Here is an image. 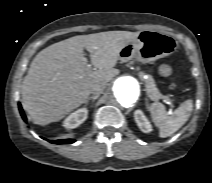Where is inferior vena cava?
Returning a JSON list of instances; mask_svg holds the SVG:
<instances>
[{
    "mask_svg": "<svg viewBox=\"0 0 212 183\" xmlns=\"http://www.w3.org/2000/svg\"><path fill=\"white\" fill-rule=\"evenodd\" d=\"M104 88H105V84H103V83H100V84H95V85H93V87L91 88V94H93V95H100L102 92H103V90H104Z\"/></svg>",
    "mask_w": 212,
    "mask_h": 183,
    "instance_id": "obj_1",
    "label": "inferior vena cava"
}]
</instances>
